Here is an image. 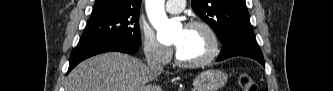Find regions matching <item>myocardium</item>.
<instances>
[{"instance_id": "myocardium-1", "label": "myocardium", "mask_w": 333, "mask_h": 91, "mask_svg": "<svg viewBox=\"0 0 333 91\" xmlns=\"http://www.w3.org/2000/svg\"><path fill=\"white\" fill-rule=\"evenodd\" d=\"M191 27H200L202 28L207 35L209 36L211 47L210 51L207 56L200 60L196 61H186L182 59L178 53V50L175 52V62L177 65L185 68H198L205 66L209 63H211L215 58L218 56L219 51H220V43H219V38L214 30V28L207 22L203 20H191L186 24V28H191Z\"/></svg>"}]
</instances>
